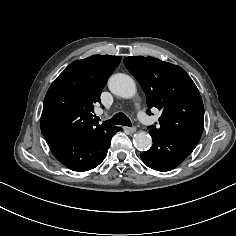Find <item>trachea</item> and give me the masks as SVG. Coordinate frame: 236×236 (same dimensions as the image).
Wrapping results in <instances>:
<instances>
[{
    "mask_svg": "<svg viewBox=\"0 0 236 236\" xmlns=\"http://www.w3.org/2000/svg\"><path fill=\"white\" fill-rule=\"evenodd\" d=\"M107 124H115V125H124V126H132L130 119L122 112L115 114L110 120L105 121Z\"/></svg>",
    "mask_w": 236,
    "mask_h": 236,
    "instance_id": "3493384b",
    "label": "trachea"
}]
</instances>
